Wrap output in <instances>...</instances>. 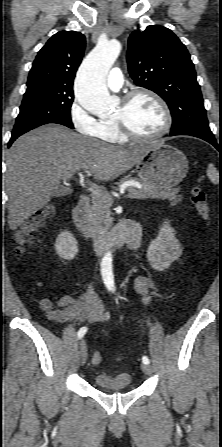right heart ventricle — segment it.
Here are the masks:
<instances>
[{"label": "right heart ventricle", "mask_w": 222, "mask_h": 447, "mask_svg": "<svg viewBox=\"0 0 222 447\" xmlns=\"http://www.w3.org/2000/svg\"><path fill=\"white\" fill-rule=\"evenodd\" d=\"M95 136L108 142H124L126 138L112 119L102 118L98 121V129Z\"/></svg>", "instance_id": "e07e8e85"}]
</instances>
